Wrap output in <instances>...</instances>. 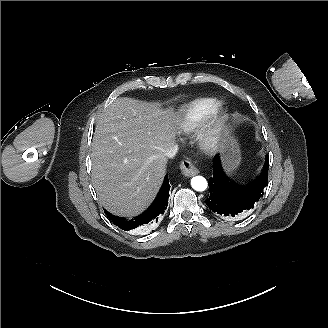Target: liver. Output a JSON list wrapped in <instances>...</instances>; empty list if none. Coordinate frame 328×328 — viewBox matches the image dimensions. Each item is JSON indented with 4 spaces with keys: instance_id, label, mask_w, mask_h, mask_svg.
Instances as JSON below:
<instances>
[{
    "instance_id": "obj_1",
    "label": "liver",
    "mask_w": 328,
    "mask_h": 328,
    "mask_svg": "<svg viewBox=\"0 0 328 328\" xmlns=\"http://www.w3.org/2000/svg\"><path fill=\"white\" fill-rule=\"evenodd\" d=\"M182 109L121 97L97 116L92 185L99 203L117 216H136L155 199L166 175V150L184 121Z\"/></svg>"
}]
</instances>
